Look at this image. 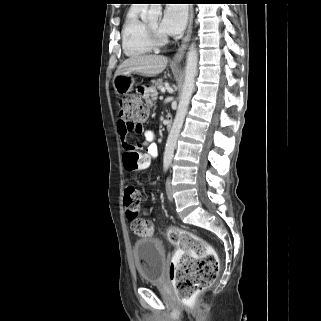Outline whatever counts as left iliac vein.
<instances>
[{
	"instance_id": "1",
	"label": "left iliac vein",
	"mask_w": 321,
	"mask_h": 321,
	"mask_svg": "<svg viewBox=\"0 0 321 321\" xmlns=\"http://www.w3.org/2000/svg\"><path fill=\"white\" fill-rule=\"evenodd\" d=\"M166 193L167 197L170 201H173V191H172V185H171V179L168 178L166 181Z\"/></svg>"
}]
</instances>
